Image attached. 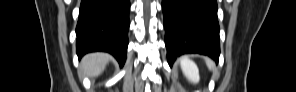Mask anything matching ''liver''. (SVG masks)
Returning <instances> with one entry per match:
<instances>
[{"label": "liver", "mask_w": 296, "mask_h": 92, "mask_svg": "<svg viewBox=\"0 0 296 92\" xmlns=\"http://www.w3.org/2000/svg\"><path fill=\"white\" fill-rule=\"evenodd\" d=\"M110 59L111 56L107 53L97 52L87 54L81 60L79 70L88 77H97L104 71Z\"/></svg>", "instance_id": "6515ba94"}]
</instances>
